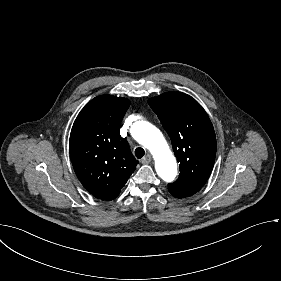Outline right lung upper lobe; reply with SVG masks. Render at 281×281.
Returning <instances> with one entry per match:
<instances>
[{"instance_id": "right-lung-upper-lobe-1", "label": "right lung upper lobe", "mask_w": 281, "mask_h": 281, "mask_svg": "<svg viewBox=\"0 0 281 281\" xmlns=\"http://www.w3.org/2000/svg\"><path fill=\"white\" fill-rule=\"evenodd\" d=\"M129 104L125 98L98 96L82 109L71 130L69 150L74 171L98 199H114L138 164L120 135Z\"/></svg>"}]
</instances>
